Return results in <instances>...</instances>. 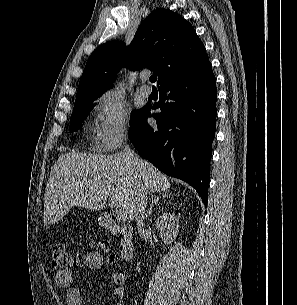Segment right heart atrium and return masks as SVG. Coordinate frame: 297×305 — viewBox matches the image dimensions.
Instances as JSON below:
<instances>
[{
	"label": "right heart atrium",
	"mask_w": 297,
	"mask_h": 305,
	"mask_svg": "<svg viewBox=\"0 0 297 305\" xmlns=\"http://www.w3.org/2000/svg\"><path fill=\"white\" fill-rule=\"evenodd\" d=\"M97 139L106 151L116 150L131 133L130 112L118 91H107L96 101Z\"/></svg>",
	"instance_id": "right-heart-atrium-1"
}]
</instances>
